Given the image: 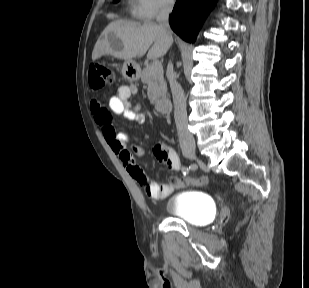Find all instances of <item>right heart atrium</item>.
I'll return each instance as SVG.
<instances>
[{"instance_id":"d8ad5b80","label":"right heart atrium","mask_w":309,"mask_h":288,"mask_svg":"<svg viewBox=\"0 0 309 288\" xmlns=\"http://www.w3.org/2000/svg\"><path fill=\"white\" fill-rule=\"evenodd\" d=\"M175 0H135V5L141 17L152 19L161 12L169 11Z\"/></svg>"}]
</instances>
